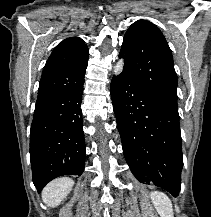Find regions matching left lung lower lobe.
Returning <instances> with one entry per match:
<instances>
[{"mask_svg":"<svg viewBox=\"0 0 211 217\" xmlns=\"http://www.w3.org/2000/svg\"><path fill=\"white\" fill-rule=\"evenodd\" d=\"M111 98L123 153L143 184L177 197L183 167L179 114L123 72L111 81Z\"/></svg>","mask_w":211,"mask_h":217,"instance_id":"obj_1","label":"left lung lower lobe"}]
</instances>
